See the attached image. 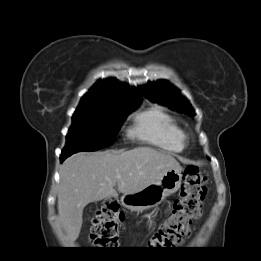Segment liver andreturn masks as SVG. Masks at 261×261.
<instances>
[{"mask_svg":"<svg viewBox=\"0 0 261 261\" xmlns=\"http://www.w3.org/2000/svg\"><path fill=\"white\" fill-rule=\"evenodd\" d=\"M180 168L177 160L149 147L128 151L79 152L64 161L58 188L59 221L73 243L82 227L84 207L90 202L135 193Z\"/></svg>","mask_w":261,"mask_h":261,"instance_id":"6515ba94","label":"liver"}]
</instances>
